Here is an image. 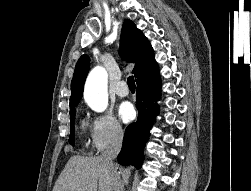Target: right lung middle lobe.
Returning a JSON list of instances; mask_svg holds the SVG:
<instances>
[{"mask_svg":"<svg viewBox=\"0 0 251 191\" xmlns=\"http://www.w3.org/2000/svg\"><path fill=\"white\" fill-rule=\"evenodd\" d=\"M77 105L74 106H70V127H71V131H70V137H69V143L71 145H74V119H75V114H76V110L75 107Z\"/></svg>","mask_w":251,"mask_h":191,"instance_id":"right-lung-middle-lobe-1","label":"right lung middle lobe"}]
</instances>
